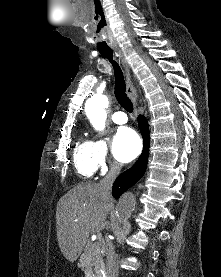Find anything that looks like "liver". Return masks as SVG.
Wrapping results in <instances>:
<instances>
[{"label": "liver", "mask_w": 221, "mask_h": 277, "mask_svg": "<svg viewBox=\"0 0 221 277\" xmlns=\"http://www.w3.org/2000/svg\"><path fill=\"white\" fill-rule=\"evenodd\" d=\"M112 207L97 183H83L60 198L56 210L58 244L64 257L74 262L90 233L101 231Z\"/></svg>", "instance_id": "1"}]
</instances>
